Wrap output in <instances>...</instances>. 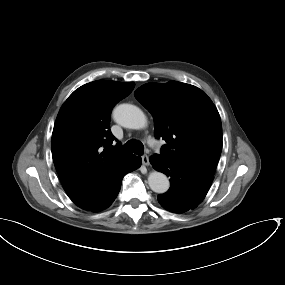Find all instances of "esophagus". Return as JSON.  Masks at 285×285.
I'll list each match as a JSON object with an SVG mask.
<instances>
[{"label": "esophagus", "instance_id": "esophagus-1", "mask_svg": "<svg viewBox=\"0 0 285 285\" xmlns=\"http://www.w3.org/2000/svg\"><path fill=\"white\" fill-rule=\"evenodd\" d=\"M141 158H142L143 165L148 166L150 164L149 163V158H148L147 155H142Z\"/></svg>", "mask_w": 285, "mask_h": 285}]
</instances>
